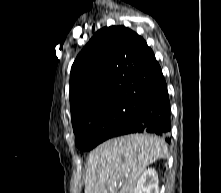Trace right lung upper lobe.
<instances>
[{"label":"right lung upper lobe","instance_id":"obj_1","mask_svg":"<svg viewBox=\"0 0 221 193\" xmlns=\"http://www.w3.org/2000/svg\"><path fill=\"white\" fill-rule=\"evenodd\" d=\"M161 73L152 49L137 33L124 26L100 29L71 68L73 128L112 102L144 99Z\"/></svg>","mask_w":221,"mask_h":193}]
</instances>
